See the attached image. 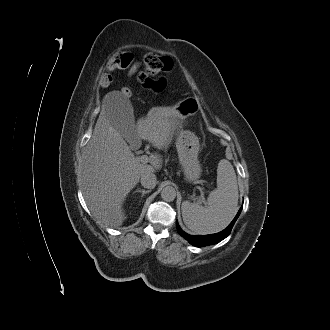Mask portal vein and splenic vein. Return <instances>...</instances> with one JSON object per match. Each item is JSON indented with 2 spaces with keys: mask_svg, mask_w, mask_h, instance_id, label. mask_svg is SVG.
<instances>
[{
  "mask_svg": "<svg viewBox=\"0 0 330 330\" xmlns=\"http://www.w3.org/2000/svg\"><path fill=\"white\" fill-rule=\"evenodd\" d=\"M149 157L147 155H141L138 157V160L141 162V163H148L149 162Z\"/></svg>",
  "mask_w": 330,
  "mask_h": 330,
  "instance_id": "obj_1",
  "label": "portal vein and splenic vein"
}]
</instances>
